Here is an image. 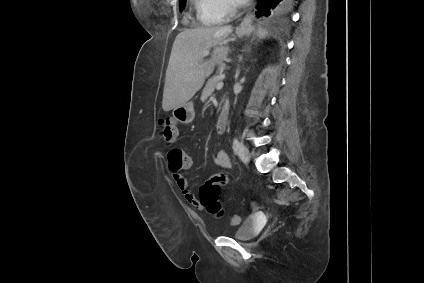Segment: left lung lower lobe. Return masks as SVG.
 <instances>
[{"label":"left lung lower lobe","mask_w":424,"mask_h":283,"mask_svg":"<svg viewBox=\"0 0 424 283\" xmlns=\"http://www.w3.org/2000/svg\"><path fill=\"white\" fill-rule=\"evenodd\" d=\"M295 0H260L257 6L258 13L257 16L268 17L270 15V10L272 13H284L286 12L294 3Z\"/></svg>","instance_id":"0a47b994"}]
</instances>
